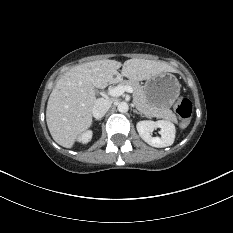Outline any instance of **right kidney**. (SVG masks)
Returning a JSON list of instances; mask_svg holds the SVG:
<instances>
[{"label":"right kidney","mask_w":233,"mask_h":233,"mask_svg":"<svg viewBox=\"0 0 233 233\" xmlns=\"http://www.w3.org/2000/svg\"><path fill=\"white\" fill-rule=\"evenodd\" d=\"M92 135H93L92 131L87 130L79 136L78 141L81 142L82 144H86L91 141Z\"/></svg>","instance_id":"obj_1"}]
</instances>
